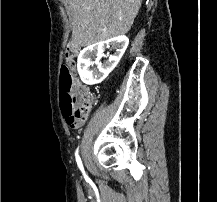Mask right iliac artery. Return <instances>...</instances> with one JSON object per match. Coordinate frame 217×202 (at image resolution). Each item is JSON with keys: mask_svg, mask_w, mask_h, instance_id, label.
<instances>
[{"mask_svg": "<svg viewBox=\"0 0 217 202\" xmlns=\"http://www.w3.org/2000/svg\"><path fill=\"white\" fill-rule=\"evenodd\" d=\"M75 156H76V161H77V163H82L81 158H80V156L78 155V149L76 150Z\"/></svg>", "mask_w": 217, "mask_h": 202, "instance_id": "right-iliac-artery-1", "label": "right iliac artery"}]
</instances>
